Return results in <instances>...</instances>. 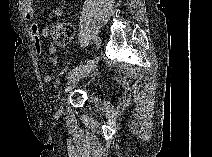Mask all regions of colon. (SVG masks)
<instances>
[{
  "mask_svg": "<svg viewBox=\"0 0 212 157\" xmlns=\"http://www.w3.org/2000/svg\"><path fill=\"white\" fill-rule=\"evenodd\" d=\"M75 29L71 22H57L52 27V36L56 43L65 45L74 37Z\"/></svg>",
  "mask_w": 212,
  "mask_h": 157,
  "instance_id": "1",
  "label": "colon"
}]
</instances>
